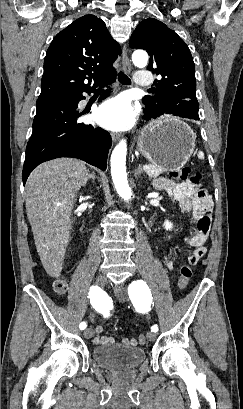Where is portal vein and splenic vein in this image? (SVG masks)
Listing matches in <instances>:
<instances>
[{
    "instance_id": "1",
    "label": "portal vein and splenic vein",
    "mask_w": 243,
    "mask_h": 409,
    "mask_svg": "<svg viewBox=\"0 0 243 409\" xmlns=\"http://www.w3.org/2000/svg\"><path fill=\"white\" fill-rule=\"evenodd\" d=\"M149 168H150L149 165H144V166H143V169H144V170H147V169H149Z\"/></svg>"
}]
</instances>
